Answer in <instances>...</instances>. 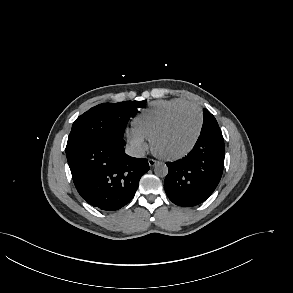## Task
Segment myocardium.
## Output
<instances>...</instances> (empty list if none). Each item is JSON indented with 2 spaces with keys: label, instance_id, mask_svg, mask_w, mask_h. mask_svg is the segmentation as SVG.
I'll return each instance as SVG.
<instances>
[{
  "label": "myocardium",
  "instance_id": "obj_1",
  "mask_svg": "<svg viewBox=\"0 0 293 293\" xmlns=\"http://www.w3.org/2000/svg\"><path fill=\"white\" fill-rule=\"evenodd\" d=\"M194 108L197 110L198 114H199V126L197 129V132L192 140V142L189 144V146L184 149L183 151L176 153V154H164L162 152H160L157 148H156V142L158 140V138L160 137V135L169 127V125L171 124V122L173 121V119L183 110H185L186 108ZM203 126H204V114L203 111L201 109V107L195 103H187L184 105H181L179 107H177L176 109H174L166 118L165 120L161 123V125L156 129V131L153 133L152 137H151V146L152 149L154 151V153L159 156L162 159L168 160V161H176V160H180L184 157H186L196 146L202 130H203Z\"/></svg>",
  "mask_w": 293,
  "mask_h": 293
}]
</instances>
